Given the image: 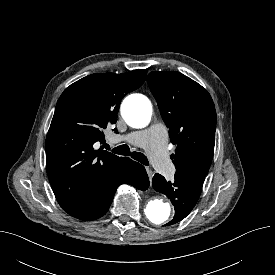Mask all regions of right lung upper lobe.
<instances>
[{"instance_id":"right-lung-upper-lobe-1","label":"right lung upper lobe","mask_w":275,"mask_h":275,"mask_svg":"<svg viewBox=\"0 0 275 275\" xmlns=\"http://www.w3.org/2000/svg\"><path fill=\"white\" fill-rule=\"evenodd\" d=\"M146 70L86 76L61 94L46 137L47 175L69 215L83 212L121 168L125 158L94 148L117 121L122 98L138 89Z\"/></svg>"}]
</instances>
